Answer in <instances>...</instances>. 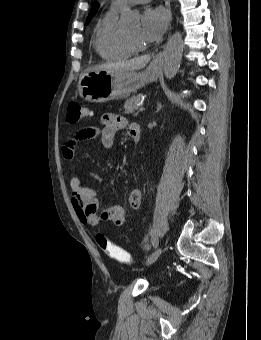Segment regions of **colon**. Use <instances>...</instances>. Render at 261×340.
Instances as JSON below:
<instances>
[{
  "mask_svg": "<svg viewBox=\"0 0 261 340\" xmlns=\"http://www.w3.org/2000/svg\"><path fill=\"white\" fill-rule=\"evenodd\" d=\"M90 115L89 109L78 103L70 102L67 108V121L76 124ZM95 240L99 248L113 260L129 265L133 262L132 256L122 247L111 242L104 234L97 233Z\"/></svg>",
  "mask_w": 261,
  "mask_h": 340,
  "instance_id": "colon-1",
  "label": "colon"
}]
</instances>
